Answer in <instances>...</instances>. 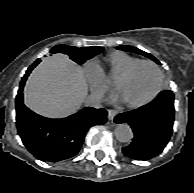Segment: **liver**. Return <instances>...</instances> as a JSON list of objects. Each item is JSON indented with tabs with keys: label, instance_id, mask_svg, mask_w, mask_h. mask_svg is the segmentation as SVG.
Here are the masks:
<instances>
[{
	"label": "liver",
	"instance_id": "liver-1",
	"mask_svg": "<svg viewBox=\"0 0 194 193\" xmlns=\"http://www.w3.org/2000/svg\"><path fill=\"white\" fill-rule=\"evenodd\" d=\"M86 97L83 70L64 55L43 60L30 74L24 88L25 105L50 118L75 113Z\"/></svg>",
	"mask_w": 194,
	"mask_h": 193
}]
</instances>
